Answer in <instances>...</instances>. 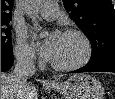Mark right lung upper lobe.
<instances>
[{
	"label": "right lung upper lobe",
	"mask_w": 115,
	"mask_h": 99,
	"mask_svg": "<svg viewBox=\"0 0 115 99\" xmlns=\"http://www.w3.org/2000/svg\"><path fill=\"white\" fill-rule=\"evenodd\" d=\"M14 0H1V24L12 20V7Z\"/></svg>",
	"instance_id": "obj_1"
}]
</instances>
